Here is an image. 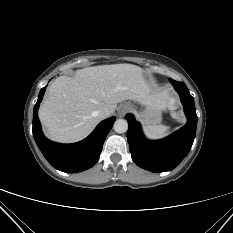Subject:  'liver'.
I'll use <instances>...</instances> for the list:
<instances>
[{
	"label": "liver",
	"mask_w": 233,
	"mask_h": 233,
	"mask_svg": "<svg viewBox=\"0 0 233 233\" xmlns=\"http://www.w3.org/2000/svg\"><path fill=\"white\" fill-rule=\"evenodd\" d=\"M134 100L165 109L162 93H154L145 82L142 69L132 64L86 67L74 77L55 79L39 108L46 136L57 142L72 143L87 137L101 121L100 109L113 114L119 102Z\"/></svg>",
	"instance_id": "6515ba94"
}]
</instances>
